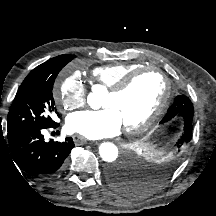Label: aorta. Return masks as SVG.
<instances>
[{"label": "aorta", "mask_w": 216, "mask_h": 216, "mask_svg": "<svg viewBox=\"0 0 216 216\" xmlns=\"http://www.w3.org/2000/svg\"><path fill=\"white\" fill-rule=\"evenodd\" d=\"M101 86H95L87 97L88 104L94 108L98 109L101 104ZM99 155L105 162H114L118 157V148L116 145L110 142H104L99 146Z\"/></svg>", "instance_id": "762f6f07"}]
</instances>
